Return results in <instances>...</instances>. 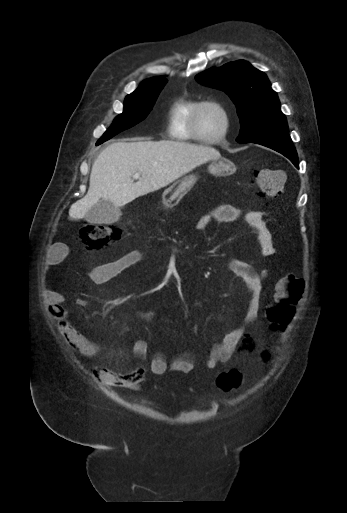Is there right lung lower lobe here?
I'll return each instance as SVG.
<instances>
[{
    "label": "right lung lower lobe",
    "instance_id": "obj_1",
    "mask_svg": "<svg viewBox=\"0 0 347 513\" xmlns=\"http://www.w3.org/2000/svg\"><path fill=\"white\" fill-rule=\"evenodd\" d=\"M99 144H100V142H97V145H99Z\"/></svg>",
    "mask_w": 347,
    "mask_h": 513
}]
</instances>
